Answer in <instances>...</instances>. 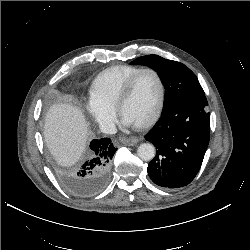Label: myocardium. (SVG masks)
<instances>
[{"label": "myocardium", "instance_id": "1", "mask_svg": "<svg viewBox=\"0 0 250 250\" xmlns=\"http://www.w3.org/2000/svg\"><path fill=\"white\" fill-rule=\"evenodd\" d=\"M144 72H150L155 76L157 83H158V100H157L156 107L153 110L152 114L145 121H143L139 125L135 126L138 129H144V128H147L150 125H152L158 119V117L163 109L164 100H165V86H164V82H163L162 77L159 74V72L153 68H150V67H145V68H141L140 70H138L124 84V86L122 87V89H121V91L116 99V103H115V111L117 112V114L119 116H121L122 106L124 105V103L127 101L128 97L130 96V93L132 91V88H133L135 81Z\"/></svg>", "mask_w": 250, "mask_h": 250}]
</instances>
